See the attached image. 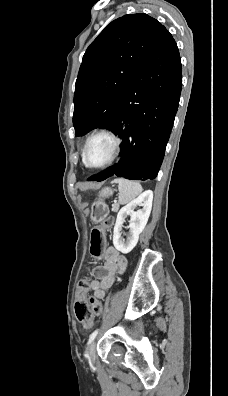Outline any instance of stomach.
Instances as JSON below:
<instances>
[{
  "instance_id": "stomach-1",
  "label": "stomach",
  "mask_w": 228,
  "mask_h": 396,
  "mask_svg": "<svg viewBox=\"0 0 228 396\" xmlns=\"http://www.w3.org/2000/svg\"><path fill=\"white\" fill-rule=\"evenodd\" d=\"M113 191L111 188H103L98 194V200L91 206V219L94 223L101 222L109 214L108 205L105 203V199L112 196Z\"/></svg>"
}]
</instances>
